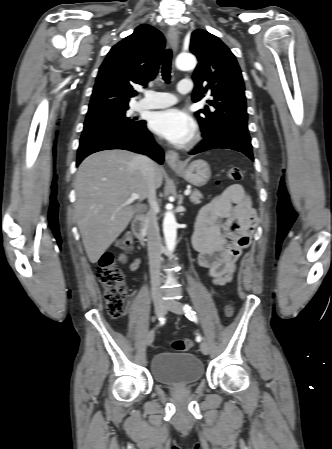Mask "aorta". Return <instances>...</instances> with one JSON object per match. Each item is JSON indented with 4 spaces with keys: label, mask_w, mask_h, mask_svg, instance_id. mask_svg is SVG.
Instances as JSON below:
<instances>
[{
    "label": "aorta",
    "mask_w": 332,
    "mask_h": 449,
    "mask_svg": "<svg viewBox=\"0 0 332 449\" xmlns=\"http://www.w3.org/2000/svg\"><path fill=\"white\" fill-rule=\"evenodd\" d=\"M196 64V58L192 54H180L176 59V67L182 71L193 70L196 67ZM163 233L167 250L172 252L177 237V223L170 207H167V212L164 215Z\"/></svg>",
    "instance_id": "762f6f07"
}]
</instances>
